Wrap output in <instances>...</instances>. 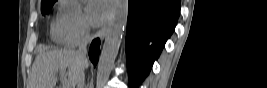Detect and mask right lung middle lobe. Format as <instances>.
<instances>
[{
  "label": "right lung middle lobe",
  "mask_w": 267,
  "mask_h": 88,
  "mask_svg": "<svg viewBox=\"0 0 267 88\" xmlns=\"http://www.w3.org/2000/svg\"><path fill=\"white\" fill-rule=\"evenodd\" d=\"M56 0H49L41 3V12L43 15L48 14Z\"/></svg>",
  "instance_id": "obj_1"
}]
</instances>
